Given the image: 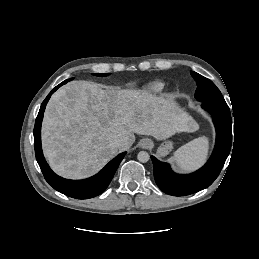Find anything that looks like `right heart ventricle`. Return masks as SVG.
Wrapping results in <instances>:
<instances>
[{
    "instance_id": "e07e8e85",
    "label": "right heart ventricle",
    "mask_w": 259,
    "mask_h": 259,
    "mask_svg": "<svg viewBox=\"0 0 259 259\" xmlns=\"http://www.w3.org/2000/svg\"><path fill=\"white\" fill-rule=\"evenodd\" d=\"M164 83L155 81L150 83L145 89H144V95L146 97H154L162 93L164 90Z\"/></svg>"
}]
</instances>
